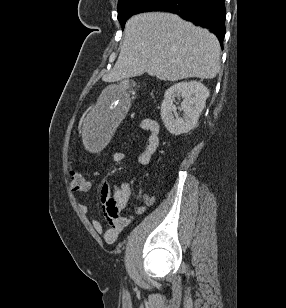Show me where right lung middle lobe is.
Returning a JSON list of instances; mask_svg holds the SVG:
<instances>
[{
    "instance_id": "1",
    "label": "right lung middle lobe",
    "mask_w": 286,
    "mask_h": 308,
    "mask_svg": "<svg viewBox=\"0 0 286 308\" xmlns=\"http://www.w3.org/2000/svg\"><path fill=\"white\" fill-rule=\"evenodd\" d=\"M168 0H121L118 2V20L124 28L126 20L134 14L153 11Z\"/></svg>"
}]
</instances>
